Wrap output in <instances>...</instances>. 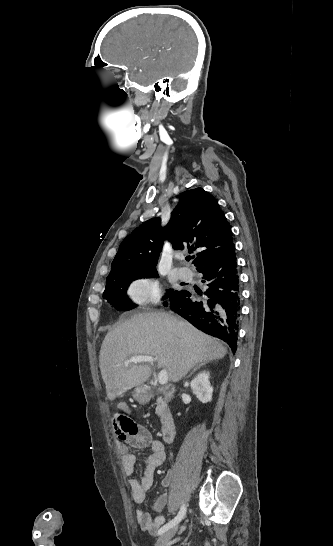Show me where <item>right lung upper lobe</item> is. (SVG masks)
<instances>
[{
    "mask_svg": "<svg viewBox=\"0 0 333 546\" xmlns=\"http://www.w3.org/2000/svg\"><path fill=\"white\" fill-rule=\"evenodd\" d=\"M164 239L176 250L203 248L193 261L197 270L233 245L230 226L217 200L202 188H196L182 193L164 228L160 218H152L128 235L119 247L111 271L156 270Z\"/></svg>",
    "mask_w": 333,
    "mask_h": 546,
    "instance_id": "obj_1",
    "label": "right lung upper lobe"
}]
</instances>
